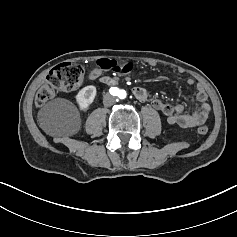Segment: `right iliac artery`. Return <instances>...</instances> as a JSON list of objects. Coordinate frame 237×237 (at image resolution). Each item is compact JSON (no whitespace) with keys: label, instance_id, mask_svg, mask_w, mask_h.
Wrapping results in <instances>:
<instances>
[{"label":"right iliac artery","instance_id":"1","mask_svg":"<svg viewBox=\"0 0 237 237\" xmlns=\"http://www.w3.org/2000/svg\"><path fill=\"white\" fill-rule=\"evenodd\" d=\"M119 92V89L117 87H111L110 88V93L117 95Z\"/></svg>","mask_w":237,"mask_h":237}]
</instances>
